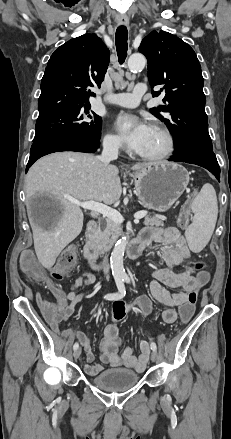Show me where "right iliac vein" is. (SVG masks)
I'll return each instance as SVG.
<instances>
[{"instance_id":"right-iliac-vein-1","label":"right iliac vein","mask_w":231,"mask_h":439,"mask_svg":"<svg viewBox=\"0 0 231 439\" xmlns=\"http://www.w3.org/2000/svg\"><path fill=\"white\" fill-rule=\"evenodd\" d=\"M81 355V348H77L76 350H74L73 356L75 359L79 358Z\"/></svg>"}]
</instances>
